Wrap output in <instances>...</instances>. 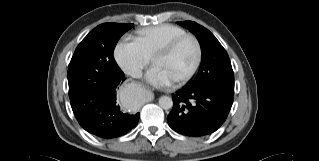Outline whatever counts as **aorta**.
<instances>
[{
  "label": "aorta",
  "instance_id": "aorta-1",
  "mask_svg": "<svg viewBox=\"0 0 319 161\" xmlns=\"http://www.w3.org/2000/svg\"><path fill=\"white\" fill-rule=\"evenodd\" d=\"M159 106L165 110L172 108L173 100L169 96H162L159 99Z\"/></svg>",
  "mask_w": 319,
  "mask_h": 161
}]
</instances>
